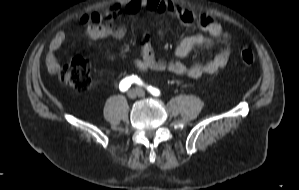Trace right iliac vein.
I'll return each mask as SVG.
<instances>
[{
    "instance_id": "obj_1",
    "label": "right iliac vein",
    "mask_w": 299,
    "mask_h": 190,
    "mask_svg": "<svg viewBox=\"0 0 299 190\" xmlns=\"http://www.w3.org/2000/svg\"><path fill=\"white\" fill-rule=\"evenodd\" d=\"M139 95V90L138 89H132L128 92V97L130 99H135Z\"/></svg>"
}]
</instances>
